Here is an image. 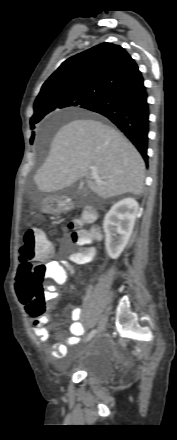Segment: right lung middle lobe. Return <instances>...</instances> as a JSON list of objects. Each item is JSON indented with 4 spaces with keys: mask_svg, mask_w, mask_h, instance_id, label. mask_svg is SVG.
I'll return each instance as SVG.
<instances>
[{
    "mask_svg": "<svg viewBox=\"0 0 177 440\" xmlns=\"http://www.w3.org/2000/svg\"><path fill=\"white\" fill-rule=\"evenodd\" d=\"M102 97L103 95L98 93L66 92L60 94L39 104L38 106H34V115L30 119L31 129H34V125L52 111L75 106L86 109L88 106L94 104ZM34 136L35 134L33 132L30 140L31 144L33 143Z\"/></svg>",
    "mask_w": 177,
    "mask_h": 440,
    "instance_id": "dd1d6c3e",
    "label": "right lung middle lobe"
}]
</instances>
